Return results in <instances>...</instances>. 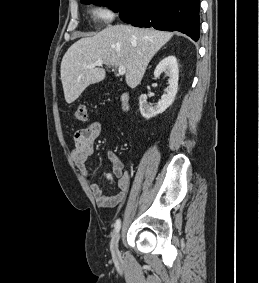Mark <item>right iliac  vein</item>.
<instances>
[{
  "mask_svg": "<svg viewBox=\"0 0 259 283\" xmlns=\"http://www.w3.org/2000/svg\"><path fill=\"white\" fill-rule=\"evenodd\" d=\"M119 239H120V233H117L111 240V244H110L111 253L115 260H118L120 257V251L118 247Z\"/></svg>",
  "mask_w": 259,
  "mask_h": 283,
  "instance_id": "obj_1",
  "label": "right iliac vein"
}]
</instances>
